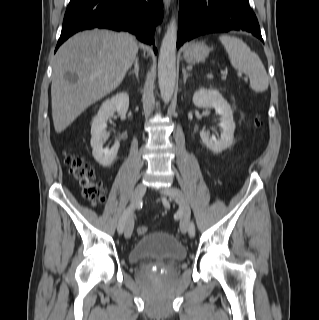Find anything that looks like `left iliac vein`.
Returning a JSON list of instances; mask_svg holds the SVG:
<instances>
[{"label": "left iliac vein", "instance_id": "left-iliac-vein-1", "mask_svg": "<svg viewBox=\"0 0 319 320\" xmlns=\"http://www.w3.org/2000/svg\"><path fill=\"white\" fill-rule=\"evenodd\" d=\"M164 195L172 196L178 203L181 211L180 229L182 233L189 232L191 210L188 201L181 190L175 187H165L161 189Z\"/></svg>", "mask_w": 319, "mask_h": 320}]
</instances>
